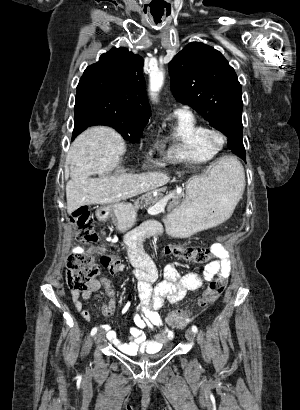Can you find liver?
Returning a JSON list of instances; mask_svg holds the SVG:
<instances>
[{"label":"liver","instance_id":"1","mask_svg":"<svg viewBox=\"0 0 300 410\" xmlns=\"http://www.w3.org/2000/svg\"><path fill=\"white\" fill-rule=\"evenodd\" d=\"M125 150L122 137L109 127L88 128L75 139L66 159L71 175L66 184L69 214L80 206L117 203L169 182L161 171L111 176ZM93 174L99 177L91 178Z\"/></svg>","mask_w":300,"mask_h":410}]
</instances>
